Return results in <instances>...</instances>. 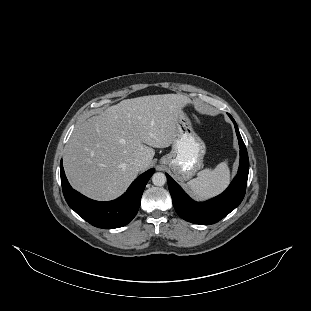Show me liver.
Segmentation results:
<instances>
[{
  "mask_svg": "<svg viewBox=\"0 0 311 311\" xmlns=\"http://www.w3.org/2000/svg\"><path fill=\"white\" fill-rule=\"evenodd\" d=\"M187 96L163 94L126 99L76 126L64 152L71 185L89 197L109 200L122 194L150 167L153 148H168L179 137ZM141 158V166L134 161Z\"/></svg>",
  "mask_w": 311,
  "mask_h": 311,
  "instance_id": "obj_1",
  "label": "liver"
}]
</instances>
